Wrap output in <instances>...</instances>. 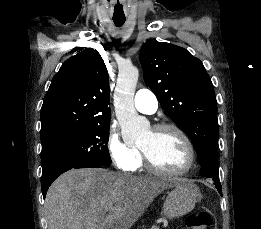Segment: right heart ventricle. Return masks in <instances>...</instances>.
I'll list each match as a JSON object with an SVG mask.
<instances>
[{
    "instance_id": "obj_1",
    "label": "right heart ventricle",
    "mask_w": 261,
    "mask_h": 229,
    "mask_svg": "<svg viewBox=\"0 0 261 229\" xmlns=\"http://www.w3.org/2000/svg\"><path fill=\"white\" fill-rule=\"evenodd\" d=\"M140 166H141V160H140V163H139L138 167H140Z\"/></svg>"
}]
</instances>
